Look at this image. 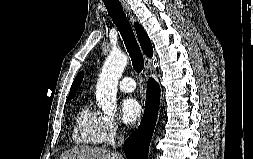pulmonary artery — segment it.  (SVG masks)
I'll return each instance as SVG.
<instances>
[{"label":"pulmonary artery","instance_id":"pulmonary-artery-1","mask_svg":"<svg viewBox=\"0 0 253 159\" xmlns=\"http://www.w3.org/2000/svg\"><path fill=\"white\" fill-rule=\"evenodd\" d=\"M119 88L123 92H133L136 88V84L131 77H123L119 82Z\"/></svg>","mask_w":253,"mask_h":159}]
</instances>
